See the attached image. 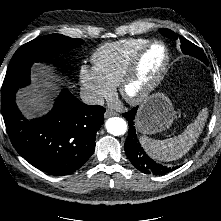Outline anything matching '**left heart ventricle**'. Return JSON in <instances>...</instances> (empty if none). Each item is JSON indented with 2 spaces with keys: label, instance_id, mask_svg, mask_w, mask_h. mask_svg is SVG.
Wrapping results in <instances>:
<instances>
[{
  "label": "left heart ventricle",
  "instance_id": "1",
  "mask_svg": "<svg viewBox=\"0 0 221 221\" xmlns=\"http://www.w3.org/2000/svg\"><path fill=\"white\" fill-rule=\"evenodd\" d=\"M165 58L161 45H154L143 56L135 80L128 86L129 95L138 94L157 74Z\"/></svg>",
  "mask_w": 221,
  "mask_h": 221
}]
</instances>
